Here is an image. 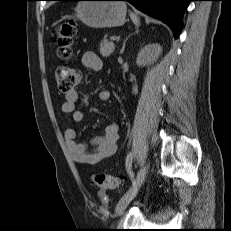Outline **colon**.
Wrapping results in <instances>:
<instances>
[{
    "instance_id": "5ec220e1",
    "label": "colon",
    "mask_w": 231,
    "mask_h": 231,
    "mask_svg": "<svg viewBox=\"0 0 231 231\" xmlns=\"http://www.w3.org/2000/svg\"><path fill=\"white\" fill-rule=\"evenodd\" d=\"M74 34L75 23L72 19L64 20L58 24L55 42L58 47V54L64 59L71 54ZM55 77L59 90L66 94L80 83L82 75L80 70L63 63L57 66ZM93 182L100 189L102 196H104L107 190L118 187L120 179L113 175L97 173L93 175Z\"/></svg>"
}]
</instances>
